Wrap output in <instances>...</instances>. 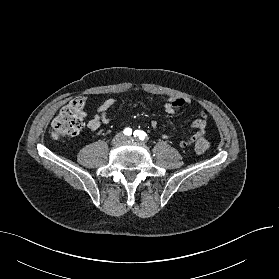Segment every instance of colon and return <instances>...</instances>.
Instances as JSON below:
<instances>
[{
	"instance_id": "5ec220e1",
	"label": "colon",
	"mask_w": 279,
	"mask_h": 279,
	"mask_svg": "<svg viewBox=\"0 0 279 279\" xmlns=\"http://www.w3.org/2000/svg\"><path fill=\"white\" fill-rule=\"evenodd\" d=\"M84 100L73 99L54 118L51 124V135L54 139H65L77 135L84 125ZM210 148V143L203 137L195 141V150L204 153Z\"/></svg>"
}]
</instances>
